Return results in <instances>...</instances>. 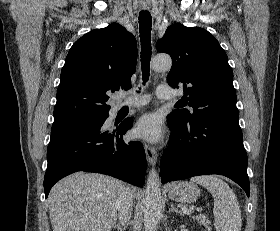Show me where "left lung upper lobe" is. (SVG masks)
Instances as JSON below:
<instances>
[{"instance_id": "5c2ea615", "label": "left lung upper lobe", "mask_w": 280, "mask_h": 231, "mask_svg": "<svg viewBox=\"0 0 280 231\" xmlns=\"http://www.w3.org/2000/svg\"><path fill=\"white\" fill-rule=\"evenodd\" d=\"M173 61L168 84L184 88L183 102L193 111L171 113L181 123L211 118L239 119L233 72L216 38L205 29L174 24L157 43ZM188 95V97H187Z\"/></svg>"}]
</instances>
